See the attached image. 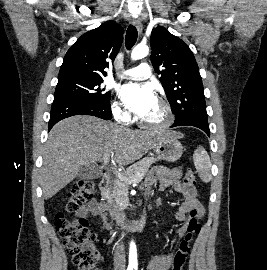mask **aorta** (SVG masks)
I'll return each instance as SVG.
<instances>
[{
	"label": "aorta",
	"instance_id": "obj_1",
	"mask_svg": "<svg viewBox=\"0 0 267 270\" xmlns=\"http://www.w3.org/2000/svg\"><path fill=\"white\" fill-rule=\"evenodd\" d=\"M149 53V48L146 45H137L131 53L132 60H139L146 57ZM137 261V248L135 243L132 241L129 248V262L134 263Z\"/></svg>",
	"mask_w": 267,
	"mask_h": 270
}]
</instances>
